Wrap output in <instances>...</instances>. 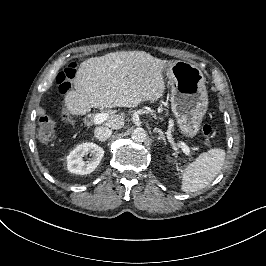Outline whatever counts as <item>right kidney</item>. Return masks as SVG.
I'll list each match as a JSON object with an SVG mask.
<instances>
[{
  "label": "right kidney",
  "instance_id": "obj_1",
  "mask_svg": "<svg viewBox=\"0 0 266 266\" xmlns=\"http://www.w3.org/2000/svg\"><path fill=\"white\" fill-rule=\"evenodd\" d=\"M90 154L92 157L87 161L83 158ZM73 160L74 173L85 175L93 172L104 156V150L93 142L77 145L69 155Z\"/></svg>",
  "mask_w": 266,
  "mask_h": 266
}]
</instances>
